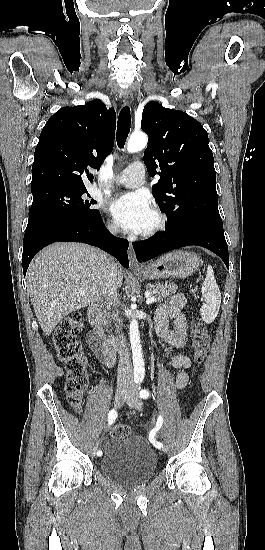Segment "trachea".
<instances>
[{"label":"trachea","instance_id":"obj_1","mask_svg":"<svg viewBox=\"0 0 265 550\" xmlns=\"http://www.w3.org/2000/svg\"><path fill=\"white\" fill-rule=\"evenodd\" d=\"M131 114L130 108L125 106L120 111L117 123V144L119 148H123L130 132Z\"/></svg>","mask_w":265,"mask_h":550}]
</instances>
